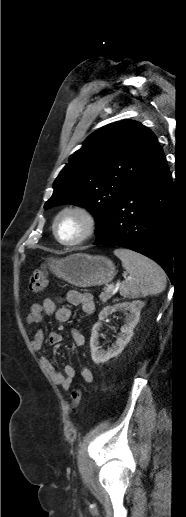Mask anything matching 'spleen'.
Masks as SVG:
<instances>
[{"label": "spleen", "mask_w": 186, "mask_h": 517, "mask_svg": "<svg viewBox=\"0 0 186 517\" xmlns=\"http://www.w3.org/2000/svg\"><path fill=\"white\" fill-rule=\"evenodd\" d=\"M114 254L122 261V266L129 273L127 279L120 286V294L124 298L146 297L164 291L166 275L155 262L123 248L114 250Z\"/></svg>", "instance_id": "3e777b00"}]
</instances>
